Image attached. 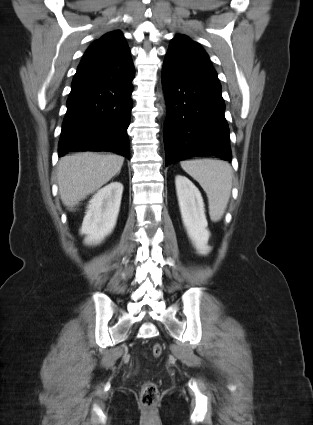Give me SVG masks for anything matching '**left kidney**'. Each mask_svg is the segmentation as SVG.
Instances as JSON below:
<instances>
[{
  "instance_id": "obj_1",
  "label": "left kidney",
  "mask_w": 313,
  "mask_h": 425,
  "mask_svg": "<svg viewBox=\"0 0 313 425\" xmlns=\"http://www.w3.org/2000/svg\"><path fill=\"white\" fill-rule=\"evenodd\" d=\"M176 193L187 234L199 254L206 255L211 248L208 246L210 232L205 216L203 198L198 188L185 176L175 177Z\"/></svg>"
}]
</instances>
